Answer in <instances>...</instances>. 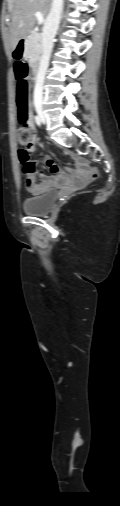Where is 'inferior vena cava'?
<instances>
[{"mask_svg": "<svg viewBox=\"0 0 120 506\" xmlns=\"http://www.w3.org/2000/svg\"><path fill=\"white\" fill-rule=\"evenodd\" d=\"M63 0H52L50 12L45 20L42 33L43 54L40 61L37 81L34 89V102L41 103L43 100V82L49 66V60L53 48L54 37L57 33Z\"/></svg>", "mask_w": 120, "mask_h": 506, "instance_id": "602c4592", "label": "inferior vena cava"}]
</instances>
